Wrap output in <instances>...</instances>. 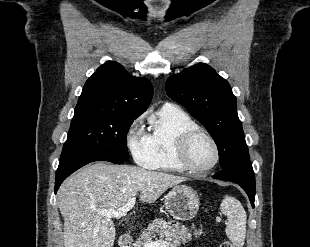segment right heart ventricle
<instances>
[{
	"label": "right heart ventricle",
	"mask_w": 310,
	"mask_h": 247,
	"mask_svg": "<svg viewBox=\"0 0 310 247\" xmlns=\"http://www.w3.org/2000/svg\"><path fill=\"white\" fill-rule=\"evenodd\" d=\"M191 116L174 105H164L150 120L148 140L153 158L150 169L182 171L177 158L179 136L186 130L198 128Z\"/></svg>",
	"instance_id": "right-heart-ventricle-1"
}]
</instances>
